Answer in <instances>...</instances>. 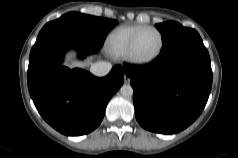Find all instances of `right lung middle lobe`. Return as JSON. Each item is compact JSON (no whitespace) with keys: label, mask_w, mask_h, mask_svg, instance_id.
Masks as SVG:
<instances>
[{"label":"right lung middle lobe","mask_w":238,"mask_h":158,"mask_svg":"<svg viewBox=\"0 0 238 158\" xmlns=\"http://www.w3.org/2000/svg\"><path fill=\"white\" fill-rule=\"evenodd\" d=\"M116 24L115 20L70 12L57 20L47 23L38 37L51 31H68L101 48L107 33Z\"/></svg>","instance_id":"obj_1"}]
</instances>
